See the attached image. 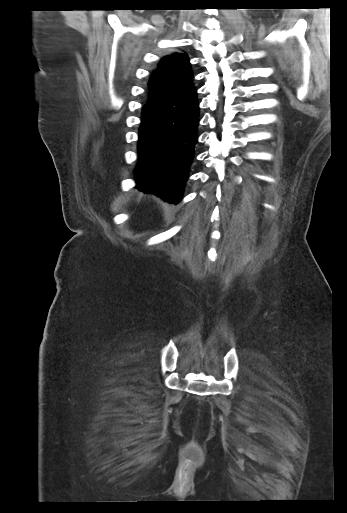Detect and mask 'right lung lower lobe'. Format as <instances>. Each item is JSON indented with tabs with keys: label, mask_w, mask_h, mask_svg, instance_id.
Masks as SVG:
<instances>
[{
	"label": "right lung lower lobe",
	"mask_w": 347,
	"mask_h": 513,
	"mask_svg": "<svg viewBox=\"0 0 347 513\" xmlns=\"http://www.w3.org/2000/svg\"><path fill=\"white\" fill-rule=\"evenodd\" d=\"M197 91L193 84L166 97H149L142 110L137 188L178 203L197 138Z\"/></svg>",
	"instance_id": "right-lung-lower-lobe-1"
}]
</instances>
